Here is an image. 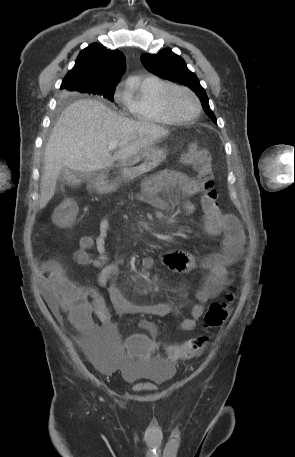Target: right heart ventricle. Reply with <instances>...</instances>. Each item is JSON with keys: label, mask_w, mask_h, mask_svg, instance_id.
I'll return each instance as SVG.
<instances>
[{"label": "right heart ventricle", "mask_w": 295, "mask_h": 457, "mask_svg": "<svg viewBox=\"0 0 295 457\" xmlns=\"http://www.w3.org/2000/svg\"><path fill=\"white\" fill-rule=\"evenodd\" d=\"M169 84L156 76H146L132 81L123 96L129 115L145 123L172 124L175 122L164 112L160 103V93Z\"/></svg>", "instance_id": "1"}]
</instances>
